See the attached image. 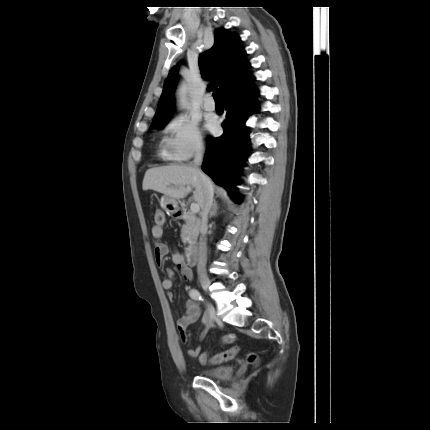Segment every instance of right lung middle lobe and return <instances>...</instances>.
<instances>
[{
	"instance_id": "1",
	"label": "right lung middle lobe",
	"mask_w": 430,
	"mask_h": 430,
	"mask_svg": "<svg viewBox=\"0 0 430 430\" xmlns=\"http://www.w3.org/2000/svg\"><path fill=\"white\" fill-rule=\"evenodd\" d=\"M168 121L169 120L162 121V122H159V123H155V124L151 125V128H156V127H159V126L163 127V126H165L168 123Z\"/></svg>"
}]
</instances>
